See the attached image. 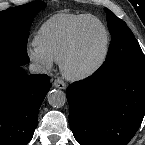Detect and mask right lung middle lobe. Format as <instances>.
Masks as SVG:
<instances>
[{"label":"right lung middle lobe","instance_id":"obj_1","mask_svg":"<svg viewBox=\"0 0 145 145\" xmlns=\"http://www.w3.org/2000/svg\"><path fill=\"white\" fill-rule=\"evenodd\" d=\"M46 6L33 1L0 12V69H9L29 62L27 41L34 17Z\"/></svg>","mask_w":145,"mask_h":145}]
</instances>
